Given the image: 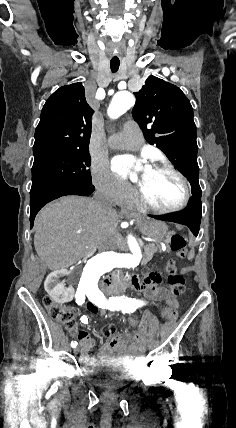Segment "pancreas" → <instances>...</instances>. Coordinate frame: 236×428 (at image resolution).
<instances>
[{"mask_svg":"<svg viewBox=\"0 0 236 428\" xmlns=\"http://www.w3.org/2000/svg\"><path fill=\"white\" fill-rule=\"evenodd\" d=\"M156 252H161V246H158V244H156V246L155 244H148V246H144V254L141 262L142 266L147 264V262H150Z\"/></svg>","mask_w":236,"mask_h":428,"instance_id":"1","label":"pancreas"}]
</instances>
